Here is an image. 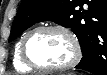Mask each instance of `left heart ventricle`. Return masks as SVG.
Here are the masks:
<instances>
[{"label": "left heart ventricle", "mask_w": 107, "mask_h": 75, "mask_svg": "<svg viewBox=\"0 0 107 75\" xmlns=\"http://www.w3.org/2000/svg\"><path fill=\"white\" fill-rule=\"evenodd\" d=\"M27 53L34 62L45 66L65 64L73 55L70 41L56 31L35 34L28 42Z\"/></svg>", "instance_id": "obj_1"}]
</instances>
